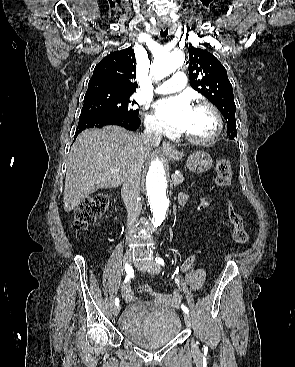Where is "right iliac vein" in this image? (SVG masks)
I'll return each mask as SVG.
<instances>
[{"label": "right iliac vein", "instance_id": "1", "mask_svg": "<svg viewBox=\"0 0 295 367\" xmlns=\"http://www.w3.org/2000/svg\"><path fill=\"white\" fill-rule=\"evenodd\" d=\"M131 257H132L131 252L130 251H126V253L124 255V259H123L124 263L125 264H129L131 262ZM119 312H120V306L119 305H115L114 308H113V314H114V316H118Z\"/></svg>", "mask_w": 295, "mask_h": 367}]
</instances>
